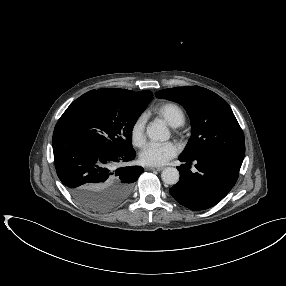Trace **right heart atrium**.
<instances>
[{
	"label": "right heart atrium",
	"mask_w": 286,
	"mask_h": 286,
	"mask_svg": "<svg viewBox=\"0 0 286 286\" xmlns=\"http://www.w3.org/2000/svg\"><path fill=\"white\" fill-rule=\"evenodd\" d=\"M146 115H139L131 125L130 137L134 146L141 147L146 139L145 135Z\"/></svg>",
	"instance_id": "1"
}]
</instances>
